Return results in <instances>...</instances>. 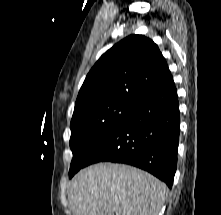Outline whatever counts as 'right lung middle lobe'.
Instances as JSON below:
<instances>
[{
  "mask_svg": "<svg viewBox=\"0 0 221 215\" xmlns=\"http://www.w3.org/2000/svg\"><path fill=\"white\" fill-rule=\"evenodd\" d=\"M133 103L120 100L99 101L74 108L71 120L70 148L73 158L71 178L85 167L90 155L131 110Z\"/></svg>",
  "mask_w": 221,
  "mask_h": 215,
  "instance_id": "obj_1",
  "label": "right lung middle lobe"
}]
</instances>
